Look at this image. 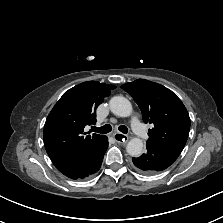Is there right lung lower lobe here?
<instances>
[{
    "instance_id": "1",
    "label": "right lung lower lobe",
    "mask_w": 223,
    "mask_h": 223,
    "mask_svg": "<svg viewBox=\"0 0 223 223\" xmlns=\"http://www.w3.org/2000/svg\"><path fill=\"white\" fill-rule=\"evenodd\" d=\"M107 147L108 139L106 137L85 157L58 170L71 179H84L100 169Z\"/></svg>"
}]
</instances>
